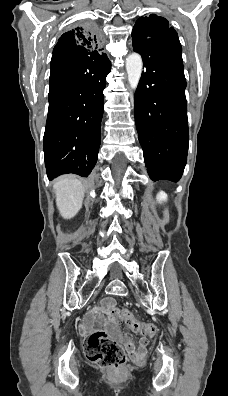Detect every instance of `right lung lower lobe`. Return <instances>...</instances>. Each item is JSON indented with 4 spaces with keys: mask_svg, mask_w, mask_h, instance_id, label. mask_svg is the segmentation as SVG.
<instances>
[{
    "mask_svg": "<svg viewBox=\"0 0 228 396\" xmlns=\"http://www.w3.org/2000/svg\"><path fill=\"white\" fill-rule=\"evenodd\" d=\"M110 67L105 53L73 50L52 56L44 133L49 180L66 173L87 177L94 168Z\"/></svg>",
    "mask_w": 228,
    "mask_h": 396,
    "instance_id": "right-lung-lower-lobe-1",
    "label": "right lung lower lobe"
}]
</instances>
